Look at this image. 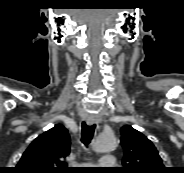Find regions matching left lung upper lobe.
I'll return each instance as SVG.
<instances>
[{
  "label": "left lung upper lobe",
  "mask_w": 184,
  "mask_h": 173,
  "mask_svg": "<svg viewBox=\"0 0 184 173\" xmlns=\"http://www.w3.org/2000/svg\"><path fill=\"white\" fill-rule=\"evenodd\" d=\"M124 157L121 173H165L162 160L152 142L129 125L121 128Z\"/></svg>",
  "instance_id": "left-lung-upper-lobe-1"
}]
</instances>
